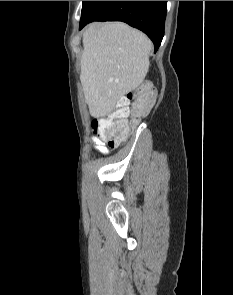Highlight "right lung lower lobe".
Returning <instances> with one entry per match:
<instances>
[{"label":"right lung lower lobe","mask_w":233,"mask_h":295,"mask_svg":"<svg viewBox=\"0 0 233 295\" xmlns=\"http://www.w3.org/2000/svg\"><path fill=\"white\" fill-rule=\"evenodd\" d=\"M167 1H90L80 28L92 21H123L148 35L158 50L163 35Z\"/></svg>","instance_id":"obj_1"}]
</instances>
